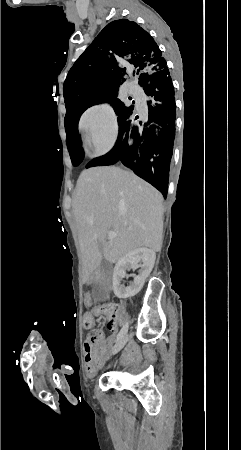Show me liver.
<instances>
[{
  "label": "liver",
  "mask_w": 241,
  "mask_h": 450,
  "mask_svg": "<svg viewBox=\"0 0 241 450\" xmlns=\"http://www.w3.org/2000/svg\"><path fill=\"white\" fill-rule=\"evenodd\" d=\"M162 204V194L129 170L114 166L83 170L73 196L83 282L102 258L115 264L141 246L160 252ZM109 232H116V238L109 240Z\"/></svg>",
  "instance_id": "1"
}]
</instances>
